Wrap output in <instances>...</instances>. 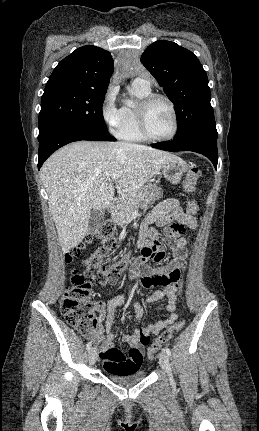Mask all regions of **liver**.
I'll use <instances>...</instances> for the list:
<instances>
[{
	"label": "liver",
	"instance_id": "6515ba94",
	"mask_svg": "<svg viewBox=\"0 0 259 431\" xmlns=\"http://www.w3.org/2000/svg\"><path fill=\"white\" fill-rule=\"evenodd\" d=\"M179 157L127 142L77 141L56 151L43 164L41 178L63 253L88 232L91 211L105 210L114 198L108 180L117 171L118 186L130 190Z\"/></svg>",
	"mask_w": 259,
	"mask_h": 431
}]
</instances>
